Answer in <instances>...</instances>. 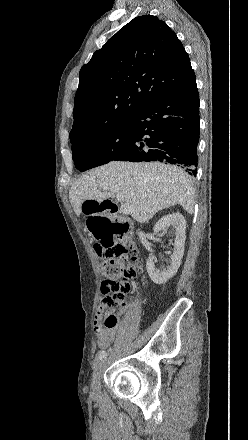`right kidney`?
Returning <instances> with one entry per match:
<instances>
[{
    "label": "right kidney",
    "instance_id": "obj_1",
    "mask_svg": "<svg viewBox=\"0 0 248 440\" xmlns=\"http://www.w3.org/2000/svg\"><path fill=\"white\" fill-rule=\"evenodd\" d=\"M169 228H171V233L175 235L170 265L161 270L157 269L155 267L156 259L153 255L147 259L146 263L150 279L158 285L166 283L177 273L184 254L186 221L183 215L178 212L165 215L155 224L153 230L155 233H159Z\"/></svg>",
    "mask_w": 248,
    "mask_h": 440
}]
</instances>
